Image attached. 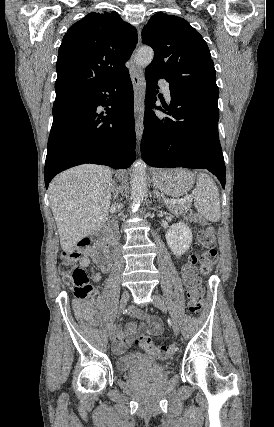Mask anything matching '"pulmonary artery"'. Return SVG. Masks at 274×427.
Returning <instances> with one entry per match:
<instances>
[{
	"instance_id": "1",
	"label": "pulmonary artery",
	"mask_w": 274,
	"mask_h": 427,
	"mask_svg": "<svg viewBox=\"0 0 274 427\" xmlns=\"http://www.w3.org/2000/svg\"><path fill=\"white\" fill-rule=\"evenodd\" d=\"M161 90H162V92H163L166 100L168 102H170L171 101V92H170L169 85L167 83H165V82L161 83Z\"/></svg>"
}]
</instances>
